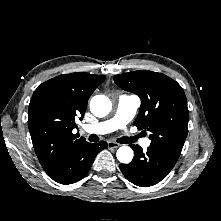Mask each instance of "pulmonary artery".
Here are the masks:
<instances>
[{
  "label": "pulmonary artery",
  "mask_w": 221,
  "mask_h": 221,
  "mask_svg": "<svg viewBox=\"0 0 221 221\" xmlns=\"http://www.w3.org/2000/svg\"><path fill=\"white\" fill-rule=\"evenodd\" d=\"M140 106V99L136 95L122 94L118 98L116 112L111 119L95 125L85 126L84 131L98 135L108 134L117 129H123L133 119ZM143 147L150 145V140L142 142Z\"/></svg>",
  "instance_id": "obj_1"
}]
</instances>
